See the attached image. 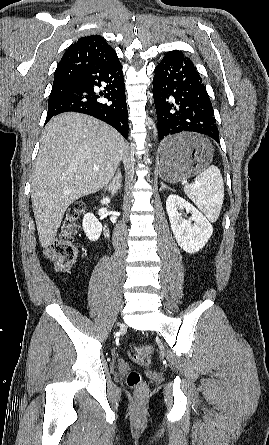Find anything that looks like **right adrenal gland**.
I'll use <instances>...</instances> for the list:
<instances>
[{"instance_id":"obj_1","label":"right adrenal gland","mask_w":269,"mask_h":445,"mask_svg":"<svg viewBox=\"0 0 269 445\" xmlns=\"http://www.w3.org/2000/svg\"><path fill=\"white\" fill-rule=\"evenodd\" d=\"M121 172L118 171L116 182L110 183L108 186H106V190L113 196L117 193V190L121 188Z\"/></svg>"}]
</instances>
